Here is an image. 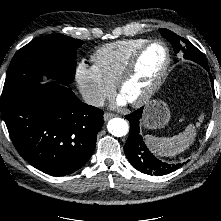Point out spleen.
<instances>
[{
	"instance_id": "spleen-1",
	"label": "spleen",
	"mask_w": 221,
	"mask_h": 221,
	"mask_svg": "<svg viewBox=\"0 0 221 221\" xmlns=\"http://www.w3.org/2000/svg\"><path fill=\"white\" fill-rule=\"evenodd\" d=\"M204 116H199V122L196 126H200ZM196 137V127L189 124L185 130L172 137H155L146 135L145 140L153 152L159 156L172 157L188 148Z\"/></svg>"
}]
</instances>
